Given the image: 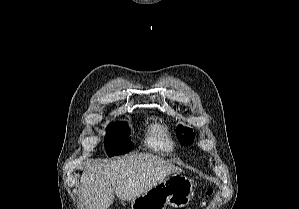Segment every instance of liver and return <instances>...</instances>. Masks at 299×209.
Segmentation results:
<instances>
[{"instance_id":"1","label":"liver","mask_w":299,"mask_h":209,"mask_svg":"<svg viewBox=\"0 0 299 209\" xmlns=\"http://www.w3.org/2000/svg\"><path fill=\"white\" fill-rule=\"evenodd\" d=\"M182 170L151 154H134L89 166L81 177L84 209H108L116 196L132 200Z\"/></svg>"}]
</instances>
